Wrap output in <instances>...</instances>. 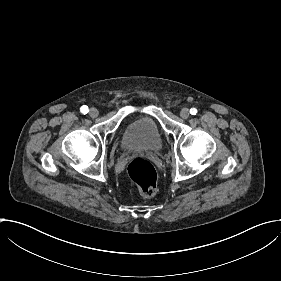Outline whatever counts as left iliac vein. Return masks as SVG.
<instances>
[{
    "label": "left iliac vein",
    "mask_w": 281,
    "mask_h": 281,
    "mask_svg": "<svg viewBox=\"0 0 281 281\" xmlns=\"http://www.w3.org/2000/svg\"><path fill=\"white\" fill-rule=\"evenodd\" d=\"M180 113L183 119H188L190 117V110L188 108H183Z\"/></svg>",
    "instance_id": "obj_1"
}]
</instances>
